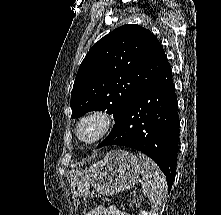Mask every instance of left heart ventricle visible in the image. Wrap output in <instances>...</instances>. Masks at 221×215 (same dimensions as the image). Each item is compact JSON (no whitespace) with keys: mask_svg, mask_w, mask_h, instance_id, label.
Instances as JSON below:
<instances>
[{"mask_svg":"<svg viewBox=\"0 0 221 215\" xmlns=\"http://www.w3.org/2000/svg\"><path fill=\"white\" fill-rule=\"evenodd\" d=\"M96 131V124L94 122L87 123L82 130V136L84 138H90Z\"/></svg>","mask_w":221,"mask_h":215,"instance_id":"1","label":"left heart ventricle"}]
</instances>
